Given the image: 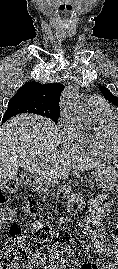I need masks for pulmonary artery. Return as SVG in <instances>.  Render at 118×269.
<instances>
[{"mask_svg":"<svg viewBox=\"0 0 118 269\" xmlns=\"http://www.w3.org/2000/svg\"><path fill=\"white\" fill-rule=\"evenodd\" d=\"M86 104L89 109H94L98 107H102L106 105L105 99L98 95V94H91L87 99H86Z\"/></svg>","mask_w":118,"mask_h":269,"instance_id":"e3ab8cb5","label":"pulmonary artery"}]
</instances>
